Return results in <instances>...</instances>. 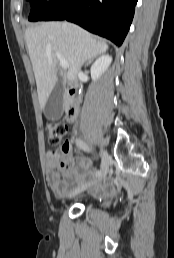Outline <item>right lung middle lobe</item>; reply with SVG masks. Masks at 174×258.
Returning <instances> with one entry per match:
<instances>
[{
  "label": "right lung middle lobe",
  "mask_w": 174,
  "mask_h": 258,
  "mask_svg": "<svg viewBox=\"0 0 174 258\" xmlns=\"http://www.w3.org/2000/svg\"><path fill=\"white\" fill-rule=\"evenodd\" d=\"M32 6V10L29 15V21H41L42 17L46 14L51 5V2L44 0H29Z\"/></svg>",
  "instance_id": "dd1d6c3e"
}]
</instances>
